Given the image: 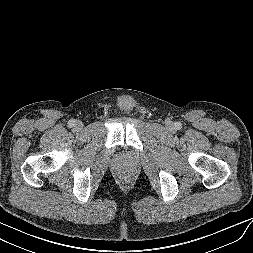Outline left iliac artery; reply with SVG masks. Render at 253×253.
I'll list each match as a JSON object with an SVG mask.
<instances>
[{
    "instance_id": "44dca946",
    "label": "left iliac artery",
    "mask_w": 253,
    "mask_h": 253,
    "mask_svg": "<svg viewBox=\"0 0 253 253\" xmlns=\"http://www.w3.org/2000/svg\"><path fill=\"white\" fill-rule=\"evenodd\" d=\"M176 127H177V129H181V123H176Z\"/></svg>"
}]
</instances>
